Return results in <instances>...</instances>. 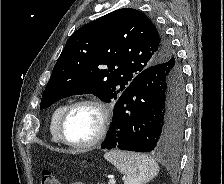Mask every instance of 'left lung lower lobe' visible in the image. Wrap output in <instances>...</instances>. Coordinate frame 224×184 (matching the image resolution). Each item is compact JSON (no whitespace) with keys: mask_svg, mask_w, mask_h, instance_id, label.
<instances>
[{"mask_svg":"<svg viewBox=\"0 0 224 184\" xmlns=\"http://www.w3.org/2000/svg\"><path fill=\"white\" fill-rule=\"evenodd\" d=\"M185 118V86L175 60L139 73L121 93L102 149L173 152L179 148Z\"/></svg>","mask_w":224,"mask_h":184,"instance_id":"left-lung-lower-lobe-1","label":"left lung lower lobe"}]
</instances>
